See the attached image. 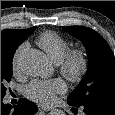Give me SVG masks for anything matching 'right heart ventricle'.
<instances>
[{
  "instance_id": "obj_1",
  "label": "right heart ventricle",
  "mask_w": 115,
  "mask_h": 115,
  "mask_svg": "<svg viewBox=\"0 0 115 115\" xmlns=\"http://www.w3.org/2000/svg\"><path fill=\"white\" fill-rule=\"evenodd\" d=\"M37 44L55 64H59L70 49L69 42L53 31L42 33L37 38Z\"/></svg>"
}]
</instances>
